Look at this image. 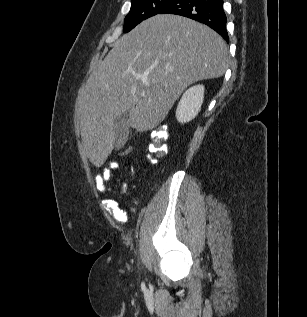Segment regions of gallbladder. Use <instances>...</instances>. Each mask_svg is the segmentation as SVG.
<instances>
[{
	"instance_id": "obj_1",
	"label": "gallbladder",
	"mask_w": 307,
	"mask_h": 317,
	"mask_svg": "<svg viewBox=\"0 0 307 317\" xmlns=\"http://www.w3.org/2000/svg\"><path fill=\"white\" fill-rule=\"evenodd\" d=\"M129 116L124 113L115 122L113 145L116 149H120L126 143L129 135Z\"/></svg>"
}]
</instances>
